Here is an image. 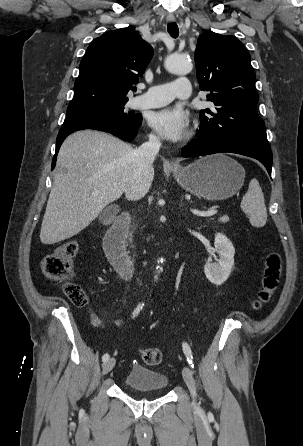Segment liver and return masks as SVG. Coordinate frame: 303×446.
I'll use <instances>...</instances> for the list:
<instances>
[{
  "label": "liver",
  "mask_w": 303,
  "mask_h": 446,
  "mask_svg": "<svg viewBox=\"0 0 303 446\" xmlns=\"http://www.w3.org/2000/svg\"><path fill=\"white\" fill-rule=\"evenodd\" d=\"M134 150L128 143L97 131H78L65 139L57 157V165L65 171L54 174L40 231L43 244L75 236L123 193L136 200L149 191L154 168L138 181ZM95 190L100 193L93 196Z\"/></svg>",
  "instance_id": "liver-1"
}]
</instances>
